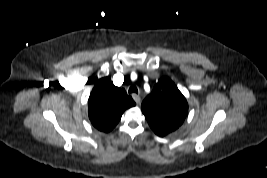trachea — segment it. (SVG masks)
I'll return each mask as SVG.
<instances>
[{
	"instance_id": "1",
	"label": "trachea",
	"mask_w": 267,
	"mask_h": 178,
	"mask_svg": "<svg viewBox=\"0 0 267 178\" xmlns=\"http://www.w3.org/2000/svg\"><path fill=\"white\" fill-rule=\"evenodd\" d=\"M129 94H131V93H136V94H138V89H137V87L136 86H131L130 88H129Z\"/></svg>"
}]
</instances>
